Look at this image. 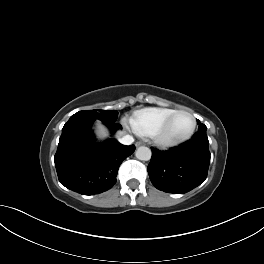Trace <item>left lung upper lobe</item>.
Listing matches in <instances>:
<instances>
[{"mask_svg": "<svg viewBox=\"0 0 264 264\" xmlns=\"http://www.w3.org/2000/svg\"><path fill=\"white\" fill-rule=\"evenodd\" d=\"M197 122L199 124L198 131H206V129H207L206 125L200 123L199 120Z\"/></svg>", "mask_w": 264, "mask_h": 264, "instance_id": "left-lung-upper-lobe-1", "label": "left lung upper lobe"}]
</instances>
